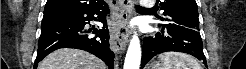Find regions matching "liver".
<instances>
[{
    "instance_id": "6515ba94",
    "label": "liver",
    "mask_w": 246,
    "mask_h": 69,
    "mask_svg": "<svg viewBox=\"0 0 246 69\" xmlns=\"http://www.w3.org/2000/svg\"><path fill=\"white\" fill-rule=\"evenodd\" d=\"M38 69H106L94 55L77 49L63 48L45 57Z\"/></svg>"
}]
</instances>
